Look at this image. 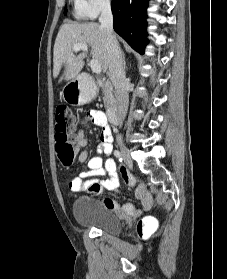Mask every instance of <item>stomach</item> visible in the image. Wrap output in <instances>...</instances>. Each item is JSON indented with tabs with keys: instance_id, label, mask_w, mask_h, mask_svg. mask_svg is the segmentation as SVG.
Segmentation results:
<instances>
[{
	"instance_id": "1",
	"label": "stomach",
	"mask_w": 227,
	"mask_h": 279,
	"mask_svg": "<svg viewBox=\"0 0 227 279\" xmlns=\"http://www.w3.org/2000/svg\"><path fill=\"white\" fill-rule=\"evenodd\" d=\"M96 94L97 87L92 81L81 82L79 78L70 80L62 90L63 99L73 106L88 103Z\"/></svg>"
}]
</instances>
